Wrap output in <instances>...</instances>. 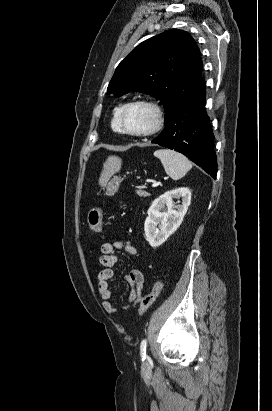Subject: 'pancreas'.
<instances>
[{
	"label": "pancreas",
	"instance_id": "pancreas-1",
	"mask_svg": "<svg viewBox=\"0 0 272 411\" xmlns=\"http://www.w3.org/2000/svg\"><path fill=\"white\" fill-rule=\"evenodd\" d=\"M136 194H137L139 197H148V196H150V194H149L148 192L143 191V190H137V191H136Z\"/></svg>",
	"mask_w": 272,
	"mask_h": 411
}]
</instances>
